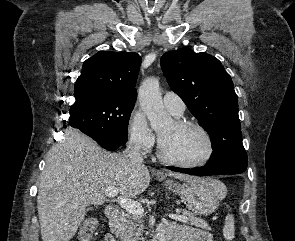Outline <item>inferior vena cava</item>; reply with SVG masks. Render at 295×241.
Here are the masks:
<instances>
[{
  "label": "inferior vena cava",
  "instance_id": "inferior-vena-cava-1",
  "mask_svg": "<svg viewBox=\"0 0 295 241\" xmlns=\"http://www.w3.org/2000/svg\"><path fill=\"white\" fill-rule=\"evenodd\" d=\"M122 155L124 158L128 159L134 165L143 164L141 150L137 144H129Z\"/></svg>",
  "mask_w": 295,
  "mask_h": 241
}]
</instances>
